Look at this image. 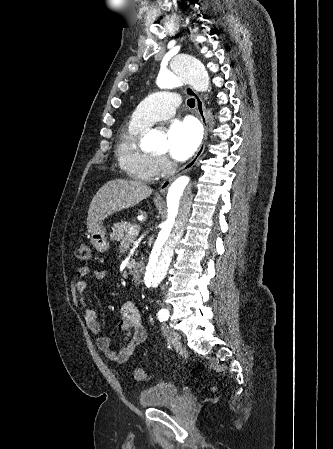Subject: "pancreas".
I'll use <instances>...</instances> for the list:
<instances>
[{"instance_id": "1", "label": "pancreas", "mask_w": 333, "mask_h": 449, "mask_svg": "<svg viewBox=\"0 0 333 449\" xmlns=\"http://www.w3.org/2000/svg\"><path fill=\"white\" fill-rule=\"evenodd\" d=\"M131 227L137 228L136 225L125 221L114 224L112 228L113 233L111 235L112 240L121 241V243H127L128 245L133 244L136 240L137 235H132L129 233V229Z\"/></svg>"}]
</instances>
